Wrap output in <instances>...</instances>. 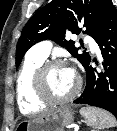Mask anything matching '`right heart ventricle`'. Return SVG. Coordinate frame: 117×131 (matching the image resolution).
<instances>
[{
  "instance_id": "e07e8e85",
  "label": "right heart ventricle",
  "mask_w": 117,
  "mask_h": 131,
  "mask_svg": "<svg viewBox=\"0 0 117 131\" xmlns=\"http://www.w3.org/2000/svg\"><path fill=\"white\" fill-rule=\"evenodd\" d=\"M44 63L42 59L26 58L18 73L16 83L17 101L23 113H35L46 108L47 104L40 101L34 92L33 82L37 69Z\"/></svg>"
}]
</instances>
